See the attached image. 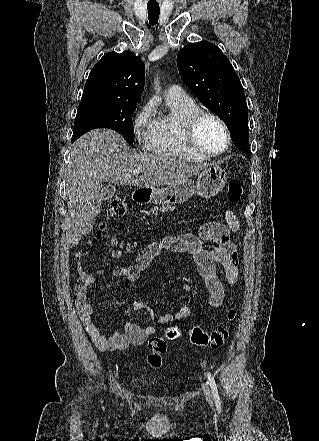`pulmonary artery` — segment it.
Instances as JSON below:
<instances>
[{
    "label": "pulmonary artery",
    "instance_id": "pulmonary-artery-1",
    "mask_svg": "<svg viewBox=\"0 0 319 441\" xmlns=\"http://www.w3.org/2000/svg\"><path fill=\"white\" fill-rule=\"evenodd\" d=\"M167 97L176 100H184L188 98L185 91L178 85H172L169 87L167 91Z\"/></svg>",
    "mask_w": 319,
    "mask_h": 441
}]
</instances>
